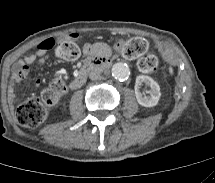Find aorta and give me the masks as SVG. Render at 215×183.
Wrapping results in <instances>:
<instances>
[{
    "mask_svg": "<svg viewBox=\"0 0 215 183\" xmlns=\"http://www.w3.org/2000/svg\"><path fill=\"white\" fill-rule=\"evenodd\" d=\"M114 78L124 81L130 76V69L125 63H115L111 69Z\"/></svg>",
    "mask_w": 215,
    "mask_h": 183,
    "instance_id": "762f6f07",
    "label": "aorta"
}]
</instances>
